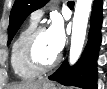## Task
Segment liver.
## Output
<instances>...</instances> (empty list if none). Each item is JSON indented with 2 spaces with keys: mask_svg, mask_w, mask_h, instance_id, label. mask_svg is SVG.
Returning a JSON list of instances; mask_svg holds the SVG:
<instances>
[{
  "mask_svg": "<svg viewBox=\"0 0 107 89\" xmlns=\"http://www.w3.org/2000/svg\"><path fill=\"white\" fill-rule=\"evenodd\" d=\"M49 84L48 82H40V81H25L18 84H13L9 86L8 89H40L42 86Z\"/></svg>",
  "mask_w": 107,
  "mask_h": 89,
  "instance_id": "liver-1",
  "label": "liver"
}]
</instances>
